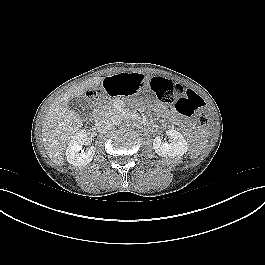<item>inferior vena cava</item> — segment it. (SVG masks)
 <instances>
[{"label": "inferior vena cava", "mask_w": 265, "mask_h": 265, "mask_svg": "<svg viewBox=\"0 0 265 265\" xmlns=\"http://www.w3.org/2000/svg\"><path fill=\"white\" fill-rule=\"evenodd\" d=\"M112 129V123L109 119L103 118L97 123V131L106 134Z\"/></svg>", "instance_id": "602c4592"}]
</instances>
